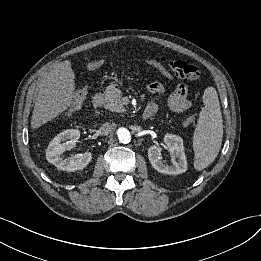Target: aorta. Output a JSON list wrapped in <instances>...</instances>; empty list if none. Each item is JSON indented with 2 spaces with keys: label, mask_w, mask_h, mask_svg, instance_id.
Segmentation results:
<instances>
[{
  "label": "aorta",
  "mask_w": 261,
  "mask_h": 261,
  "mask_svg": "<svg viewBox=\"0 0 261 261\" xmlns=\"http://www.w3.org/2000/svg\"><path fill=\"white\" fill-rule=\"evenodd\" d=\"M117 136L118 139L122 142V143H129L130 139H131V135L129 130H127L124 127H121L117 130Z\"/></svg>",
  "instance_id": "obj_1"
}]
</instances>
